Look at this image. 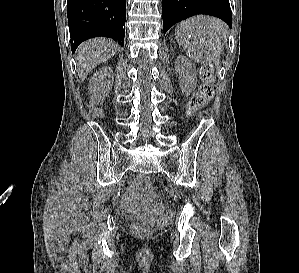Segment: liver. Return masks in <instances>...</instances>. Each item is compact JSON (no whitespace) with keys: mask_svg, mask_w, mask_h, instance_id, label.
<instances>
[{"mask_svg":"<svg viewBox=\"0 0 299 273\" xmlns=\"http://www.w3.org/2000/svg\"><path fill=\"white\" fill-rule=\"evenodd\" d=\"M116 43L110 39H92L82 43L77 49V71L81 81L98 64L110 59L116 52Z\"/></svg>","mask_w":299,"mask_h":273,"instance_id":"1","label":"liver"}]
</instances>
